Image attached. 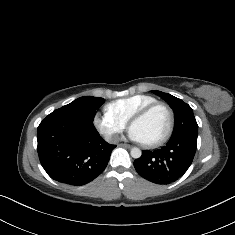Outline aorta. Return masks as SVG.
I'll return each mask as SVG.
<instances>
[{
	"mask_svg": "<svg viewBox=\"0 0 235 235\" xmlns=\"http://www.w3.org/2000/svg\"><path fill=\"white\" fill-rule=\"evenodd\" d=\"M130 153H131V156L135 159L140 158L142 155L141 150L137 147L132 148Z\"/></svg>",
	"mask_w": 235,
	"mask_h": 235,
	"instance_id": "762f6f07",
	"label": "aorta"
}]
</instances>
